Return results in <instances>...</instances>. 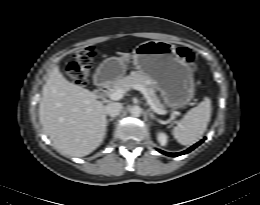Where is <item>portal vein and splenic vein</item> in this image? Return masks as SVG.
<instances>
[{"instance_id": "portal-vein-and-splenic-vein-1", "label": "portal vein and splenic vein", "mask_w": 260, "mask_h": 205, "mask_svg": "<svg viewBox=\"0 0 260 205\" xmlns=\"http://www.w3.org/2000/svg\"><path fill=\"white\" fill-rule=\"evenodd\" d=\"M132 88L135 89V90H138L140 91L145 99L147 100V103L150 105V108L157 114H165V111L164 110H161L159 109L155 103L153 102V100L151 99V97L149 96L146 88H144L142 85H139V84H135V85H132ZM125 94V91L122 90V89H118L116 90L115 92H113L111 95H110V99L111 100H114V101H118L120 99L123 98Z\"/></svg>"}]
</instances>
